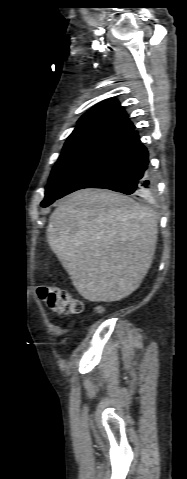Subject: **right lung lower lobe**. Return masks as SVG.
I'll return each mask as SVG.
<instances>
[{
	"label": "right lung lower lobe",
	"instance_id": "obj_1",
	"mask_svg": "<svg viewBox=\"0 0 187 479\" xmlns=\"http://www.w3.org/2000/svg\"><path fill=\"white\" fill-rule=\"evenodd\" d=\"M83 188H104L141 199H152L156 192L149 153L134 129L100 158L86 167L57 199Z\"/></svg>",
	"mask_w": 187,
	"mask_h": 479
}]
</instances>
